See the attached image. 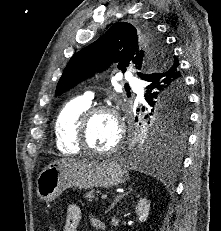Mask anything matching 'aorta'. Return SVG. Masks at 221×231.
Returning <instances> with one entry per match:
<instances>
[{
	"label": "aorta",
	"mask_w": 221,
	"mask_h": 231,
	"mask_svg": "<svg viewBox=\"0 0 221 231\" xmlns=\"http://www.w3.org/2000/svg\"><path fill=\"white\" fill-rule=\"evenodd\" d=\"M151 137H152V136H148L147 141H148V140H151V139H150ZM131 160H133L134 162H139V161H140V160H137L135 157H132ZM140 162H146V160H142V161H140Z\"/></svg>",
	"instance_id": "762f6f07"
}]
</instances>
